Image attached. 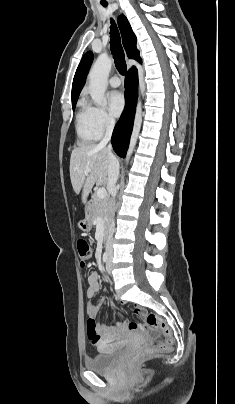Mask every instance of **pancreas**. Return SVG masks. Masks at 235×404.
Here are the masks:
<instances>
[{
	"label": "pancreas",
	"mask_w": 235,
	"mask_h": 404,
	"mask_svg": "<svg viewBox=\"0 0 235 404\" xmlns=\"http://www.w3.org/2000/svg\"><path fill=\"white\" fill-rule=\"evenodd\" d=\"M110 214V203L108 198H98L94 195L91 205V218L96 221L100 217L104 222L107 221Z\"/></svg>",
	"instance_id": "cf45deb5"
}]
</instances>
